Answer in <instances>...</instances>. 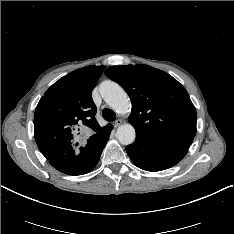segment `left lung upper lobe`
<instances>
[{
    "mask_svg": "<svg viewBox=\"0 0 234 234\" xmlns=\"http://www.w3.org/2000/svg\"><path fill=\"white\" fill-rule=\"evenodd\" d=\"M132 102L129 122L136 136L191 137L196 134V109L185 88L166 72L142 64L105 70Z\"/></svg>",
    "mask_w": 234,
    "mask_h": 234,
    "instance_id": "obj_1",
    "label": "left lung upper lobe"
}]
</instances>
